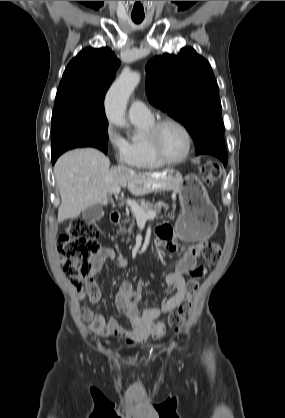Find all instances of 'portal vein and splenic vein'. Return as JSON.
Returning <instances> with one entry per match:
<instances>
[{
  "instance_id": "obj_1",
  "label": "portal vein and splenic vein",
  "mask_w": 285,
  "mask_h": 418,
  "mask_svg": "<svg viewBox=\"0 0 285 418\" xmlns=\"http://www.w3.org/2000/svg\"><path fill=\"white\" fill-rule=\"evenodd\" d=\"M120 187H115L111 190L110 193L118 194L120 192ZM129 207L131 208L132 212L134 213L136 219L140 222H146L147 219H154L156 217V211L152 210L149 212H145L138 203L133 200H127L126 202Z\"/></svg>"
}]
</instances>
